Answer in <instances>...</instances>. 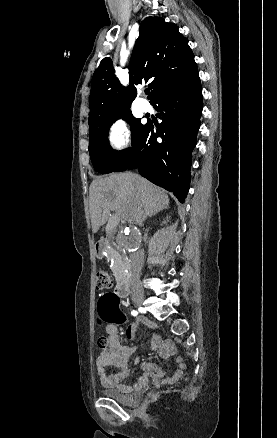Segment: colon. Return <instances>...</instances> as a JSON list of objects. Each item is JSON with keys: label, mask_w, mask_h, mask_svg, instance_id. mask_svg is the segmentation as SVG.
<instances>
[{"label": "colon", "mask_w": 277, "mask_h": 438, "mask_svg": "<svg viewBox=\"0 0 277 438\" xmlns=\"http://www.w3.org/2000/svg\"><path fill=\"white\" fill-rule=\"evenodd\" d=\"M95 281H96V289L97 290H104L108 289V285L113 283L112 276L104 270H98L95 275ZM105 322V321H104ZM104 322L98 321V326L102 325ZM109 340L108 335H100L97 338V346L102 349L104 346H106L107 342Z\"/></svg>", "instance_id": "colon-1"}]
</instances>
